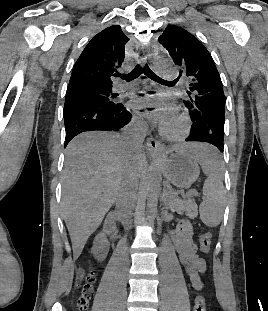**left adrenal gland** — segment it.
<instances>
[{
    "label": "left adrenal gland",
    "instance_id": "1",
    "mask_svg": "<svg viewBox=\"0 0 268 311\" xmlns=\"http://www.w3.org/2000/svg\"><path fill=\"white\" fill-rule=\"evenodd\" d=\"M168 195V192L165 188V185H164V189H163V197H166ZM166 207V205H164V208Z\"/></svg>",
    "mask_w": 268,
    "mask_h": 311
}]
</instances>
